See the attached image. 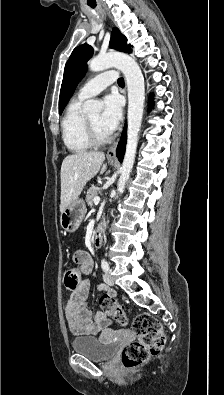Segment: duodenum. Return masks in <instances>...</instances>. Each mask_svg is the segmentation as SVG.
Wrapping results in <instances>:
<instances>
[{"instance_id": "obj_1", "label": "duodenum", "mask_w": 224, "mask_h": 395, "mask_svg": "<svg viewBox=\"0 0 224 395\" xmlns=\"http://www.w3.org/2000/svg\"><path fill=\"white\" fill-rule=\"evenodd\" d=\"M103 229H104V225L100 224V226L97 228V230L95 231L94 235H93V239H92V244L94 247H100L102 245L103 242Z\"/></svg>"}]
</instances>
